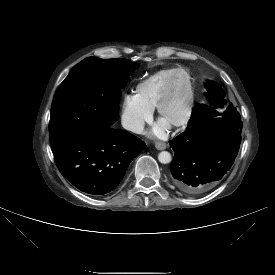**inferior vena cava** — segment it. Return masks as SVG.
I'll return each mask as SVG.
<instances>
[{"label":"inferior vena cava","mask_w":275,"mask_h":275,"mask_svg":"<svg viewBox=\"0 0 275 275\" xmlns=\"http://www.w3.org/2000/svg\"><path fill=\"white\" fill-rule=\"evenodd\" d=\"M122 126L134 133L141 134L144 130V121L132 118H123Z\"/></svg>","instance_id":"602c4592"}]
</instances>
